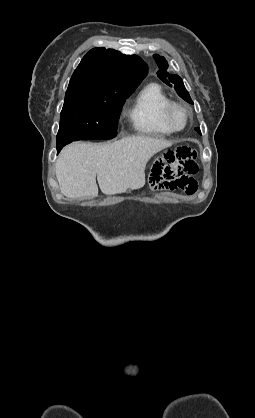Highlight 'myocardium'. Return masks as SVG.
<instances>
[{"mask_svg": "<svg viewBox=\"0 0 255 418\" xmlns=\"http://www.w3.org/2000/svg\"><path fill=\"white\" fill-rule=\"evenodd\" d=\"M176 108H180V109H182L183 111H184V113H185V116H186V121H185V124H184V126L183 127H181V128H177V127H175L174 125H173V123H172V120H171V117H172V112H173V110L174 109H176ZM190 118H191V115H190V111H189V108L184 104V103H181V102H178V101H170L167 105H166V107H165V109H164V112H163V120H164V122H165V124L173 131V132H180V131H182V130H184L186 127H187V125L189 124V122H190Z\"/></svg>", "mask_w": 255, "mask_h": 418, "instance_id": "myocardium-1", "label": "myocardium"}]
</instances>
